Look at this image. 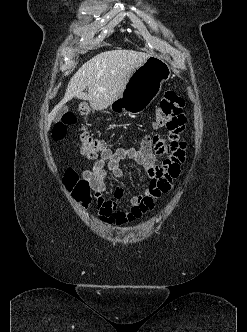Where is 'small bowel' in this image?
<instances>
[{"label": "small bowel", "instance_id": "obj_1", "mask_svg": "<svg viewBox=\"0 0 247 332\" xmlns=\"http://www.w3.org/2000/svg\"><path fill=\"white\" fill-rule=\"evenodd\" d=\"M154 146V147H153ZM185 143L180 140V132L171 133L169 141L164 143L158 138L146 135L138 149L122 147L114 152H103L91 167L82 171V179L87 181L97 197L100 220L111 225H124L139 219L152 209L161 194L168 192L180 175L181 165L185 159ZM166 155L162 161L159 156ZM131 159L142 166L147 173L148 183L143 194L130 199L127 210H119L112 200L104 199L106 179L110 172L115 178L124 177L120 162ZM124 192L121 187L115 191V197L121 198Z\"/></svg>", "mask_w": 247, "mask_h": 332}]
</instances>
